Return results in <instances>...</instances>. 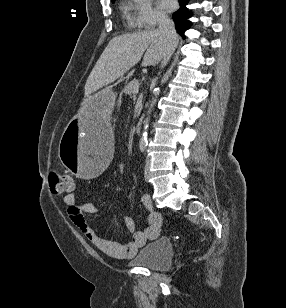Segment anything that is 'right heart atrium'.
Instances as JSON below:
<instances>
[{"instance_id": "d8ad5b80", "label": "right heart atrium", "mask_w": 286, "mask_h": 308, "mask_svg": "<svg viewBox=\"0 0 286 308\" xmlns=\"http://www.w3.org/2000/svg\"><path fill=\"white\" fill-rule=\"evenodd\" d=\"M131 23L139 29H152L166 21V15L154 7L152 0H132L127 3Z\"/></svg>"}]
</instances>
